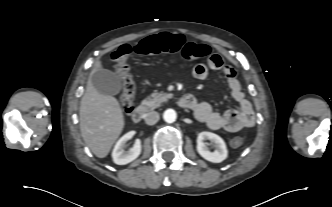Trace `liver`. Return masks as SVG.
I'll return each mask as SVG.
<instances>
[{
    "instance_id": "1",
    "label": "liver",
    "mask_w": 332,
    "mask_h": 207,
    "mask_svg": "<svg viewBox=\"0 0 332 207\" xmlns=\"http://www.w3.org/2000/svg\"><path fill=\"white\" fill-rule=\"evenodd\" d=\"M100 67L101 62L98 61L91 76ZM79 114L80 130L84 142L95 156L106 157L125 125L118 100L111 95L99 93L93 86L90 77L85 94L81 99Z\"/></svg>"
}]
</instances>
